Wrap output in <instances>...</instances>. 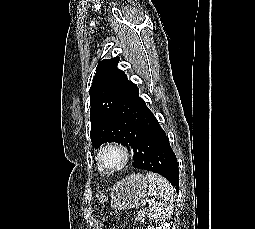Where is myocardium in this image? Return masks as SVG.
<instances>
[{"instance_id":"myocardium-1","label":"myocardium","mask_w":255,"mask_h":229,"mask_svg":"<svg viewBox=\"0 0 255 229\" xmlns=\"http://www.w3.org/2000/svg\"><path fill=\"white\" fill-rule=\"evenodd\" d=\"M109 150H116L121 154V160L118 164L113 165V166H109V165L105 164L103 156H104L105 152H107ZM130 157H131V153H130L129 148L125 144H123L121 142H117V141H109V142L104 143L99 148V150L96 154V160L99 165V168L102 171H109V172L117 171V170H120L123 167H125L128 164Z\"/></svg>"}]
</instances>
